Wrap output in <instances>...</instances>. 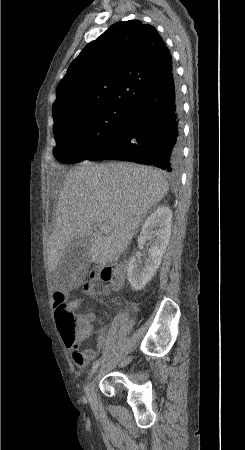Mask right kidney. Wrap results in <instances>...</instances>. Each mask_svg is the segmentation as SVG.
<instances>
[{
    "label": "right kidney",
    "mask_w": 245,
    "mask_h": 450,
    "mask_svg": "<svg viewBox=\"0 0 245 450\" xmlns=\"http://www.w3.org/2000/svg\"><path fill=\"white\" fill-rule=\"evenodd\" d=\"M172 211L168 206L158 207L145 221L138 244L143 245L147 239L152 240L148 257L142 259L136 253L128 264L127 279L135 290H142L151 280L161 264L171 235Z\"/></svg>",
    "instance_id": "right-kidney-1"
}]
</instances>
